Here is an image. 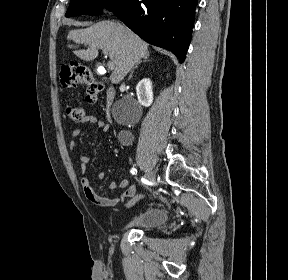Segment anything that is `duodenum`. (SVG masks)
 Returning a JSON list of instances; mask_svg holds the SVG:
<instances>
[{
    "label": "duodenum",
    "mask_w": 288,
    "mask_h": 280,
    "mask_svg": "<svg viewBox=\"0 0 288 280\" xmlns=\"http://www.w3.org/2000/svg\"><path fill=\"white\" fill-rule=\"evenodd\" d=\"M114 97H115V91L112 87H110L107 91V106L108 107L112 104Z\"/></svg>",
    "instance_id": "1"
}]
</instances>
